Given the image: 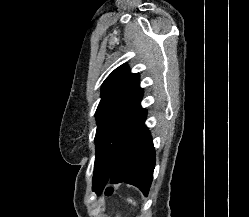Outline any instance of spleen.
Masks as SVG:
<instances>
[{
	"instance_id": "3e777b00",
	"label": "spleen",
	"mask_w": 249,
	"mask_h": 217,
	"mask_svg": "<svg viewBox=\"0 0 249 217\" xmlns=\"http://www.w3.org/2000/svg\"><path fill=\"white\" fill-rule=\"evenodd\" d=\"M128 201L130 202V203H132V204H136L133 200H131V199H128Z\"/></svg>"
}]
</instances>
